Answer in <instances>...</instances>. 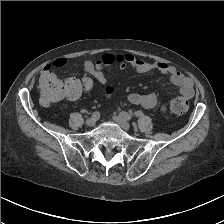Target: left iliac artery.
Segmentation results:
<instances>
[{
	"instance_id": "1",
	"label": "left iliac artery",
	"mask_w": 224,
	"mask_h": 224,
	"mask_svg": "<svg viewBox=\"0 0 224 224\" xmlns=\"http://www.w3.org/2000/svg\"><path fill=\"white\" fill-rule=\"evenodd\" d=\"M119 115H120V117H122L125 120H131V118H132L130 114H128L127 112H124V111L120 112Z\"/></svg>"
}]
</instances>
